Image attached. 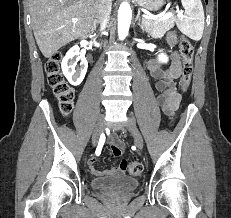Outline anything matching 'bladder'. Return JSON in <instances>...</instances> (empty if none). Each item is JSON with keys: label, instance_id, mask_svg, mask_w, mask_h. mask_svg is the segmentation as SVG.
Here are the masks:
<instances>
[{"label": "bladder", "instance_id": "31cf9c89", "mask_svg": "<svg viewBox=\"0 0 231 218\" xmlns=\"http://www.w3.org/2000/svg\"><path fill=\"white\" fill-rule=\"evenodd\" d=\"M139 181L130 176L96 177L91 180L93 190L101 193L125 195L137 189Z\"/></svg>", "mask_w": 231, "mask_h": 218}]
</instances>
